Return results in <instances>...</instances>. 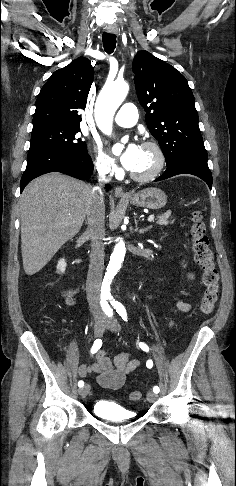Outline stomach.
Segmentation results:
<instances>
[{
    "label": "stomach",
    "mask_w": 236,
    "mask_h": 486,
    "mask_svg": "<svg viewBox=\"0 0 236 486\" xmlns=\"http://www.w3.org/2000/svg\"><path fill=\"white\" fill-rule=\"evenodd\" d=\"M127 201L135 206L156 210L166 205L167 196L161 189L150 187L133 194Z\"/></svg>",
    "instance_id": "obj_1"
}]
</instances>
